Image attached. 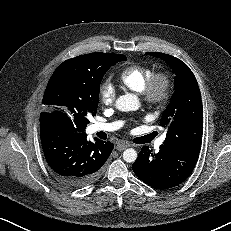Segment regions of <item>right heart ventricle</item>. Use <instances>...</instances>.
Returning a JSON list of instances; mask_svg holds the SVG:
<instances>
[{"instance_id": "right-heart-ventricle-1", "label": "right heart ventricle", "mask_w": 231, "mask_h": 231, "mask_svg": "<svg viewBox=\"0 0 231 231\" xmlns=\"http://www.w3.org/2000/svg\"><path fill=\"white\" fill-rule=\"evenodd\" d=\"M153 70L151 67L141 64H132L125 67L118 75L121 86L141 94L148 83Z\"/></svg>"}]
</instances>
